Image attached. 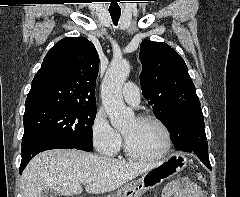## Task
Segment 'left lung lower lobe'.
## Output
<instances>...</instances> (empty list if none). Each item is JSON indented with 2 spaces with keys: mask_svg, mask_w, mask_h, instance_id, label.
Here are the masks:
<instances>
[{
  "mask_svg": "<svg viewBox=\"0 0 240 197\" xmlns=\"http://www.w3.org/2000/svg\"><path fill=\"white\" fill-rule=\"evenodd\" d=\"M180 125L175 130L176 132L171 134L175 147L179 150L194 152L211 170L203 114H200L199 117L184 119Z\"/></svg>",
  "mask_w": 240,
  "mask_h": 197,
  "instance_id": "0a47b994",
  "label": "left lung lower lobe"
}]
</instances>
